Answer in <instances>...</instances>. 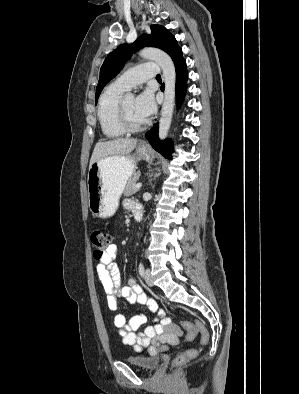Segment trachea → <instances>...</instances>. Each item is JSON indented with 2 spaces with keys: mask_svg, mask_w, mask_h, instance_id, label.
Returning a JSON list of instances; mask_svg holds the SVG:
<instances>
[{
  "mask_svg": "<svg viewBox=\"0 0 299 394\" xmlns=\"http://www.w3.org/2000/svg\"><path fill=\"white\" fill-rule=\"evenodd\" d=\"M156 79H161V76H160V75H157V76H156Z\"/></svg>",
  "mask_w": 299,
  "mask_h": 394,
  "instance_id": "3493384b",
  "label": "trachea"
}]
</instances>
